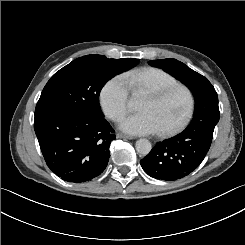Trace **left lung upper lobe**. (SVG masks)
Wrapping results in <instances>:
<instances>
[{
	"mask_svg": "<svg viewBox=\"0 0 245 245\" xmlns=\"http://www.w3.org/2000/svg\"><path fill=\"white\" fill-rule=\"evenodd\" d=\"M154 67H158L179 79L190 88L194 97L201 93L202 90L211 83L202 75L190 69L184 63L176 59H161L148 62Z\"/></svg>",
	"mask_w": 245,
	"mask_h": 245,
	"instance_id": "left-lung-upper-lobe-1",
	"label": "left lung upper lobe"
}]
</instances>
